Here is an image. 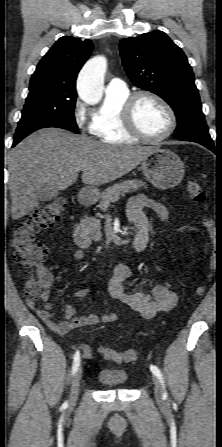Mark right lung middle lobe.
I'll return each instance as SVG.
<instances>
[{
  "mask_svg": "<svg viewBox=\"0 0 222 447\" xmlns=\"http://www.w3.org/2000/svg\"><path fill=\"white\" fill-rule=\"evenodd\" d=\"M76 97L54 91L50 86L29 88L14 141H21L30 133L45 127L78 131L74 118Z\"/></svg>",
  "mask_w": 222,
  "mask_h": 447,
  "instance_id": "right-lung-middle-lobe-1",
  "label": "right lung middle lobe"
}]
</instances>
